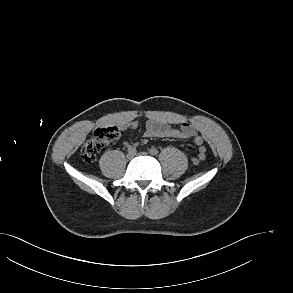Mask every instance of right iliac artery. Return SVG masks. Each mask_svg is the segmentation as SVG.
<instances>
[{
    "mask_svg": "<svg viewBox=\"0 0 293 293\" xmlns=\"http://www.w3.org/2000/svg\"><path fill=\"white\" fill-rule=\"evenodd\" d=\"M128 152H129V153H135V152H136V148L130 146V147H128Z\"/></svg>",
    "mask_w": 293,
    "mask_h": 293,
    "instance_id": "obj_1",
    "label": "right iliac artery"
}]
</instances>
